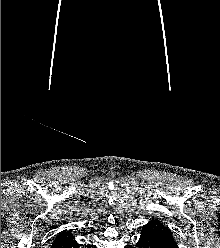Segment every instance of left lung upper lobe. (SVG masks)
Returning <instances> with one entry per match:
<instances>
[{
  "label": "left lung upper lobe",
  "instance_id": "left-lung-upper-lobe-1",
  "mask_svg": "<svg viewBox=\"0 0 220 248\" xmlns=\"http://www.w3.org/2000/svg\"><path fill=\"white\" fill-rule=\"evenodd\" d=\"M147 226L153 228L166 242L176 245L171 230L164 226L158 219L152 220Z\"/></svg>",
  "mask_w": 220,
  "mask_h": 248
}]
</instances>
